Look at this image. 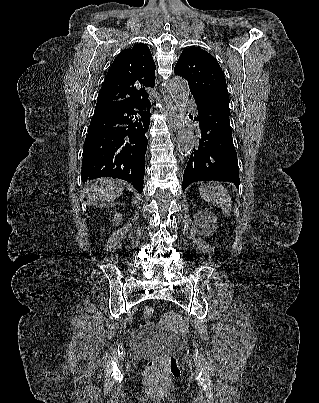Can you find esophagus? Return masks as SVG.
I'll return each mask as SVG.
<instances>
[{
	"mask_svg": "<svg viewBox=\"0 0 319 403\" xmlns=\"http://www.w3.org/2000/svg\"><path fill=\"white\" fill-rule=\"evenodd\" d=\"M160 92L163 95V100L167 107L168 123L170 124V126L174 131H177L179 129V120L176 107L171 97L165 94V90L163 87L160 88Z\"/></svg>",
	"mask_w": 319,
	"mask_h": 403,
	"instance_id": "1",
	"label": "esophagus"
}]
</instances>
